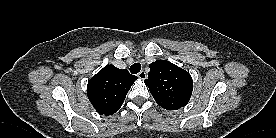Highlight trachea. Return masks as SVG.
Returning <instances> with one entry per match:
<instances>
[{"instance_id":"trachea-1","label":"trachea","mask_w":276,"mask_h":138,"mask_svg":"<svg viewBox=\"0 0 276 138\" xmlns=\"http://www.w3.org/2000/svg\"><path fill=\"white\" fill-rule=\"evenodd\" d=\"M141 70V64L140 63H134L131 67H130V72L132 74H137L138 72H140Z\"/></svg>"}]
</instances>
